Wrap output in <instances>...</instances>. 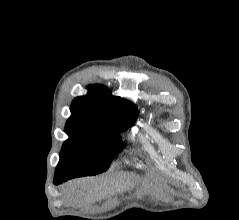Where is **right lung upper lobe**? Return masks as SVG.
Segmentation results:
<instances>
[{
	"label": "right lung upper lobe",
	"mask_w": 239,
	"mask_h": 220,
	"mask_svg": "<svg viewBox=\"0 0 239 220\" xmlns=\"http://www.w3.org/2000/svg\"><path fill=\"white\" fill-rule=\"evenodd\" d=\"M87 89L88 95L73 100L67 124L108 127L136 118V106L119 96H112L105 86L89 85Z\"/></svg>",
	"instance_id": "right-lung-upper-lobe-1"
}]
</instances>
